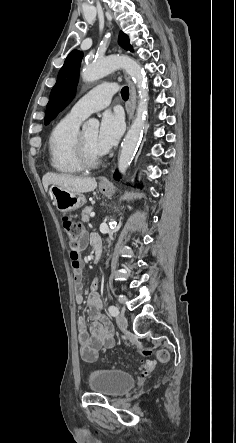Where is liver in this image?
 Returning <instances> with one entry per match:
<instances>
[{"label":"liver","mask_w":236,"mask_h":443,"mask_svg":"<svg viewBox=\"0 0 236 443\" xmlns=\"http://www.w3.org/2000/svg\"><path fill=\"white\" fill-rule=\"evenodd\" d=\"M42 182L46 191L50 184L74 193L91 192L97 187L94 178H78L67 174L46 173Z\"/></svg>","instance_id":"obj_1"}]
</instances>
